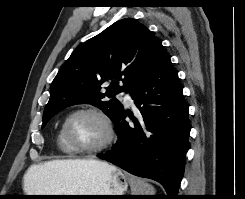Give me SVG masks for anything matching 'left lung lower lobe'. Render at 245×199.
Masks as SVG:
<instances>
[{
	"instance_id": "left-lung-lower-lobe-1",
	"label": "left lung lower lobe",
	"mask_w": 245,
	"mask_h": 199,
	"mask_svg": "<svg viewBox=\"0 0 245 199\" xmlns=\"http://www.w3.org/2000/svg\"><path fill=\"white\" fill-rule=\"evenodd\" d=\"M139 112L124 109L113 121L119 136L100 159L161 183L174 199L184 173L190 123L178 72L165 49L149 72L130 91ZM129 116L133 124L125 121Z\"/></svg>"
}]
</instances>
